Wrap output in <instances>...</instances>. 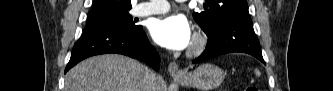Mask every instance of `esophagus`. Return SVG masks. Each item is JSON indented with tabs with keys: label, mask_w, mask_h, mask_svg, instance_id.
Here are the masks:
<instances>
[{
	"label": "esophagus",
	"mask_w": 333,
	"mask_h": 91,
	"mask_svg": "<svg viewBox=\"0 0 333 91\" xmlns=\"http://www.w3.org/2000/svg\"><path fill=\"white\" fill-rule=\"evenodd\" d=\"M168 72L172 77H180L183 75L182 71L176 62H171L168 66Z\"/></svg>",
	"instance_id": "esophagus-1"
}]
</instances>
